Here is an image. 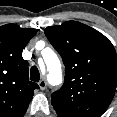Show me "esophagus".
<instances>
[{
    "label": "esophagus",
    "instance_id": "34e87169",
    "mask_svg": "<svg viewBox=\"0 0 117 117\" xmlns=\"http://www.w3.org/2000/svg\"><path fill=\"white\" fill-rule=\"evenodd\" d=\"M38 85H39L41 90H45V88L47 86V82H46L45 79H42V80L39 81Z\"/></svg>",
    "mask_w": 117,
    "mask_h": 117
}]
</instances>
